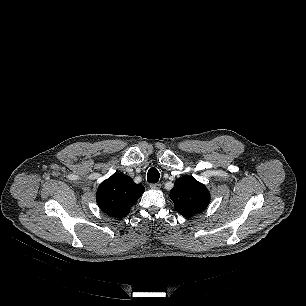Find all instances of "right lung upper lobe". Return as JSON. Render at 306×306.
I'll list each match as a JSON object with an SVG mask.
<instances>
[{
	"mask_svg": "<svg viewBox=\"0 0 306 306\" xmlns=\"http://www.w3.org/2000/svg\"><path fill=\"white\" fill-rule=\"evenodd\" d=\"M144 191L142 184H135L129 176L118 173L101 183L96 193V201L107 215L122 218L129 214L130 207Z\"/></svg>",
	"mask_w": 306,
	"mask_h": 306,
	"instance_id": "right-lung-upper-lobe-1",
	"label": "right lung upper lobe"
}]
</instances>
